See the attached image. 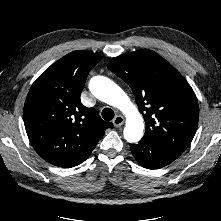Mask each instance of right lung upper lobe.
<instances>
[{
  "instance_id": "obj_1",
  "label": "right lung upper lobe",
  "mask_w": 221,
  "mask_h": 221,
  "mask_svg": "<svg viewBox=\"0 0 221 221\" xmlns=\"http://www.w3.org/2000/svg\"><path fill=\"white\" fill-rule=\"evenodd\" d=\"M102 59L73 51L51 65L33 83L24 105V124L36 152L47 162L71 168L84 162L111 122L81 104L89 71Z\"/></svg>"
}]
</instances>
